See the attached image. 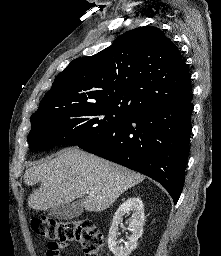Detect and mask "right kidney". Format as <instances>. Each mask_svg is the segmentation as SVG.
Listing matches in <instances>:
<instances>
[{
  "label": "right kidney",
  "instance_id": "obj_1",
  "mask_svg": "<svg viewBox=\"0 0 221 256\" xmlns=\"http://www.w3.org/2000/svg\"><path fill=\"white\" fill-rule=\"evenodd\" d=\"M130 211H132V219L129 224L131 228V235L127 237V242L124 247L118 246V226L122 221V217L125 214H129ZM144 220V208L141 198L132 197L120 205L113 217L108 235V246L114 256H129L131 254L137 246L138 239L142 236Z\"/></svg>",
  "mask_w": 221,
  "mask_h": 256
}]
</instances>
